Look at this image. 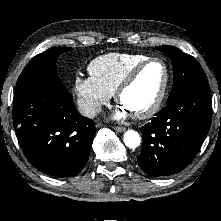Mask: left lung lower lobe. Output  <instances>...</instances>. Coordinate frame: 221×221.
<instances>
[{
  "label": "left lung lower lobe",
  "mask_w": 221,
  "mask_h": 221,
  "mask_svg": "<svg viewBox=\"0 0 221 221\" xmlns=\"http://www.w3.org/2000/svg\"><path fill=\"white\" fill-rule=\"evenodd\" d=\"M212 103L207 87H197L167 103L141 127L140 168L158 177L180 172L194 159L211 125Z\"/></svg>",
  "instance_id": "1"
}]
</instances>
